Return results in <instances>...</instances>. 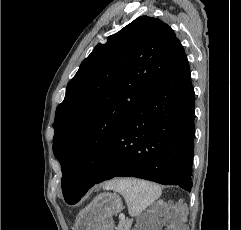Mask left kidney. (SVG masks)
Returning a JSON list of instances; mask_svg holds the SVG:
<instances>
[{
    "label": "left kidney",
    "instance_id": "5707ae66",
    "mask_svg": "<svg viewBox=\"0 0 241 230\" xmlns=\"http://www.w3.org/2000/svg\"><path fill=\"white\" fill-rule=\"evenodd\" d=\"M136 230H154V226L150 224L141 225Z\"/></svg>",
    "mask_w": 241,
    "mask_h": 230
}]
</instances>
